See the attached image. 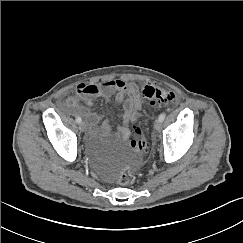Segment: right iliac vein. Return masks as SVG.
<instances>
[{
    "label": "right iliac vein",
    "instance_id": "1",
    "mask_svg": "<svg viewBox=\"0 0 243 243\" xmlns=\"http://www.w3.org/2000/svg\"><path fill=\"white\" fill-rule=\"evenodd\" d=\"M79 129L81 132H84L86 130V124L84 122H81L79 124Z\"/></svg>",
    "mask_w": 243,
    "mask_h": 243
}]
</instances>
